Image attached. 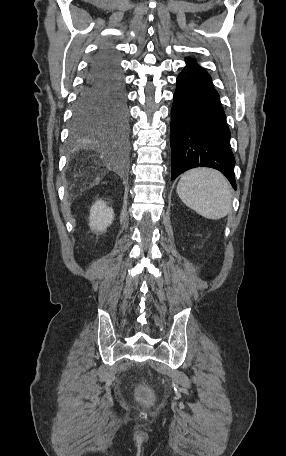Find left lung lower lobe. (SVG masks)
Returning a JSON list of instances; mask_svg holds the SVG:
<instances>
[{"mask_svg": "<svg viewBox=\"0 0 286 456\" xmlns=\"http://www.w3.org/2000/svg\"><path fill=\"white\" fill-rule=\"evenodd\" d=\"M177 77L171 110L172 179L195 167L221 171L236 190L230 130L211 76L196 61Z\"/></svg>", "mask_w": 286, "mask_h": 456, "instance_id": "1", "label": "left lung lower lobe"}]
</instances>
